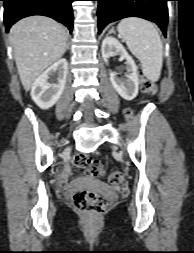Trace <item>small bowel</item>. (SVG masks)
Returning a JSON list of instances; mask_svg holds the SVG:
<instances>
[{
  "instance_id": "c3829d8e",
  "label": "small bowel",
  "mask_w": 194,
  "mask_h": 253,
  "mask_svg": "<svg viewBox=\"0 0 194 253\" xmlns=\"http://www.w3.org/2000/svg\"><path fill=\"white\" fill-rule=\"evenodd\" d=\"M69 174H70V167L65 166L63 171L58 176V184L60 187L65 188V189L70 188V185L68 184V181H67Z\"/></svg>"
}]
</instances>
